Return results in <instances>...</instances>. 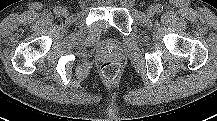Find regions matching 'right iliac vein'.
I'll return each instance as SVG.
<instances>
[{"label": "right iliac vein", "mask_w": 217, "mask_h": 121, "mask_svg": "<svg viewBox=\"0 0 217 121\" xmlns=\"http://www.w3.org/2000/svg\"><path fill=\"white\" fill-rule=\"evenodd\" d=\"M60 14L64 17L68 16L69 14V11L67 8H62L61 11H60Z\"/></svg>", "instance_id": "obj_1"}]
</instances>
